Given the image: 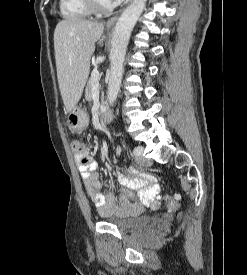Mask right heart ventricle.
I'll return each instance as SVG.
<instances>
[{
  "label": "right heart ventricle",
  "mask_w": 247,
  "mask_h": 275,
  "mask_svg": "<svg viewBox=\"0 0 247 275\" xmlns=\"http://www.w3.org/2000/svg\"><path fill=\"white\" fill-rule=\"evenodd\" d=\"M59 7L65 19H83L91 15L84 0H59Z\"/></svg>",
  "instance_id": "right-heart-ventricle-1"
}]
</instances>
